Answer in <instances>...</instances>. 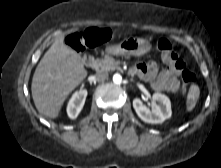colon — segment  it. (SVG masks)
Instances as JSON below:
<instances>
[{"instance_id": "1", "label": "colon", "mask_w": 221, "mask_h": 168, "mask_svg": "<svg viewBox=\"0 0 221 168\" xmlns=\"http://www.w3.org/2000/svg\"><path fill=\"white\" fill-rule=\"evenodd\" d=\"M110 37V30L107 28H89L81 32L72 33L67 36L66 43L77 51H83L86 48L94 47ZM158 49L167 54L172 52V45L168 39L161 38L157 43ZM183 84H181L180 94L184 95L186 86L192 85L196 81V76L190 70L186 69L181 76Z\"/></svg>"}]
</instances>
